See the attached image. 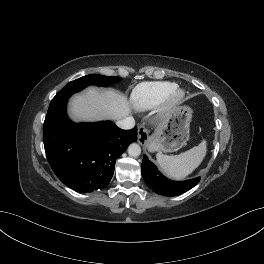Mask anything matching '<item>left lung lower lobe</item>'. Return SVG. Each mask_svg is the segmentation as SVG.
Here are the masks:
<instances>
[{"instance_id": "obj_1", "label": "left lung lower lobe", "mask_w": 264, "mask_h": 264, "mask_svg": "<svg viewBox=\"0 0 264 264\" xmlns=\"http://www.w3.org/2000/svg\"><path fill=\"white\" fill-rule=\"evenodd\" d=\"M141 172L147 186L155 193L164 196L180 195L200 181V177L181 182L169 180L158 171L156 165L149 161L146 155L143 156Z\"/></svg>"}]
</instances>
